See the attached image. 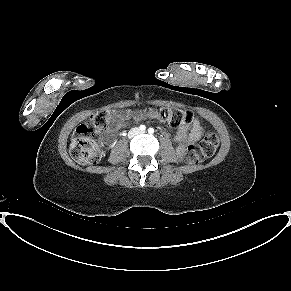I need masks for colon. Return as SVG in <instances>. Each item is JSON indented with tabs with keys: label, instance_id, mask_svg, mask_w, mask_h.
I'll return each instance as SVG.
<instances>
[{
	"label": "colon",
	"instance_id": "obj_1",
	"mask_svg": "<svg viewBox=\"0 0 291 291\" xmlns=\"http://www.w3.org/2000/svg\"><path fill=\"white\" fill-rule=\"evenodd\" d=\"M151 114L173 127L186 125L192 120L189 112L175 108H161L153 110ZM113 119L112 111H100L77 127L70 143V155L74 161L79 164H93L101 159L102 151L98 138L100 133L109 127ZM218 145V135L214 132L206 133L198 146L192 145L187 148L184 156L185 162L195 164L213 156Z\"/></svg>",
	"mask_w": 291,
	"mask_h": 291
}]
</instances>
